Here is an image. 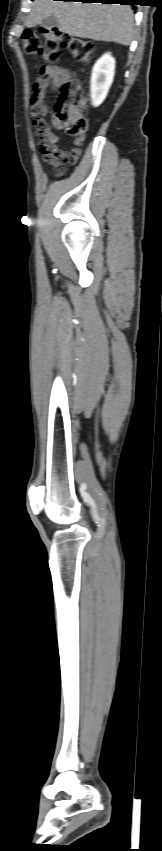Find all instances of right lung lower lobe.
Returning <instances> with one entry per match:
<instances>
[{
	"label": "right lung lower lobe",
	"instance_id": "98d812e1",
	"mask_svg": "<svg viewBox=\"0 0 162 851\" xmlns=\"http://www.w3.org/2000/svg\"><path fill=\"white\" fill-rule=\"evenodd\" d=\"M63 1H75V0H63ZM78 1H81V2H91V3L99 2V3H103V4H116V3H119V4H121V5H133V4H135V2H137L138 0H78Z\"/></svg>",
	"mask_w": 162,
	"mask_h": 851
}]
</instances>
